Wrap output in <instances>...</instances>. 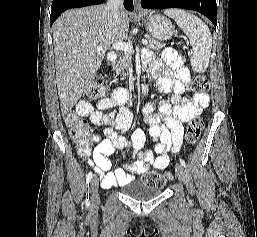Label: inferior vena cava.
I'll return each instance as SVG.
<instances>
[{"mask_svg":"<svg viewBox=\"0 0 257 237\" xmlns=\"http://www.w3.org/2000/svg\"><path fill=\"white\" fill-rule=\"evenodd\" d=\"M107 10L109 11L112 21L120 25V15L123 11L122 0H107Z\"/></svg>","mask_w":257,"mask_h":237,"instance_id":"602c4592","label":"inferior vena cava"}]
</instances>
